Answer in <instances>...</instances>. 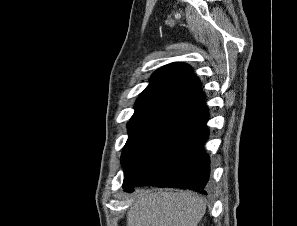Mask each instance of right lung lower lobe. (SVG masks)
Masks as SVG:
<instances>
[{"instance_id":"1","label":"right lung lower lobe","mask_w":297,"mask_h":226,"mask_svg":"<svg viewBox=\"0 0 297 226\" xmlns=\"http://www.w3.org/2000/svg\"><path fill=\"white\" fill-rule=\"evenodd\" d=\"M203 101L169 119L135 167L125 176L123 189L137 186L189 189L207 195L210 159L204 151L209 131Z\"/></svg>"}]
</instances>
